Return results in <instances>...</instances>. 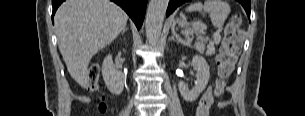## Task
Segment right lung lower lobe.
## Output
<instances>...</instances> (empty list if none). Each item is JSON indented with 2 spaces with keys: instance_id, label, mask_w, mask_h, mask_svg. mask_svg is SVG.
Instances as JSON below:
<instances>
[{
  "instance_id": "right-lung-lower-lobe-1",
  "label": "right lung lower lobe",
  "mask_w": 305,
  "mask_h": 116,
  "mask_svg": "<svg viewBox=\"0 0 305 116\" xmlns=\"http://www.w3.org/2000/svg\"><path fill=\"white\" fill-rule=\"evenodd\" d=\"M64 0H52L53 13L52 20L57 8ZM121 6L126 13L131 17V19L136 24L137 28L140 29L142 26L145 10L148 0H111Z\"/></svg>"
}]
</instances>
